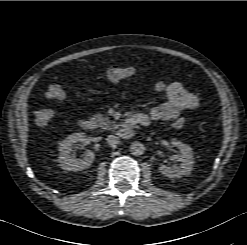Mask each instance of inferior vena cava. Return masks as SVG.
I'll return each mask as SVG.
<instances>
[{
  "label": "inferior vena cava",
  "instance_id": "1",
  "mask_svg": "<svg viewBox=\"0 0 247 245\" xmlns=\"http://www.w3.org/2000/svg\"><path fill=\"white\" fill-rule=\"evenodd\" d=\"M106 141L110 146L115 147L119 144L120 139H119V137H117L115 135H109V136H107Z\"/></svg>",
  "mask_w": 247,
  "mask_h": 245
}]
</instances>
